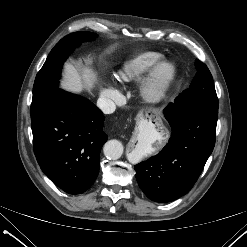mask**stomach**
<instances>
[{"label": "stomach", "instance_id": "1", "mask_svg": "<svg viewBox=\"0 0 247 247\" xmlns=\"http://www.w3.org/2000/svg\"><path fill=\"white\" fill-rule=\"evenodd\" d=\"M155 114L157 115V113H156V112H155ZM140 124H141V125H145V124H147V120H146V119H144V118H141Z\"/></svg>", "mask_w": 247, "mask_h": 247}]
</instances>
